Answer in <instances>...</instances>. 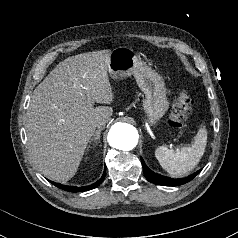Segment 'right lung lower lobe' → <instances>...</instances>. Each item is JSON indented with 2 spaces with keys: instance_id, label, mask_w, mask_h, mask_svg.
Masks as SVG:
<instances>
[{
  "instance_id": "98d812e1",
  "label": "right lung lower lobe",
  "mask_w": 238,
  "mask_h": 238,
  "mask_svg": "<svg viewBox=\"0 0 238 238\" xmlns=\"http://www.w3.org/2000/svg\"><path fill=\"white\" fill-rule=\"evenodd\" d=\"M105 175H106V170H104V173H103L102 177L97 182H95L92 185L84 186V187L65 186V185H61V184L55 183V182H51V183L54 184L56 187H58L60 189H63L65 191H69V192H82V191H88V190L94 189L97 186H99L100 183L103 181Z\"/></svg>"
}]
</instances>
